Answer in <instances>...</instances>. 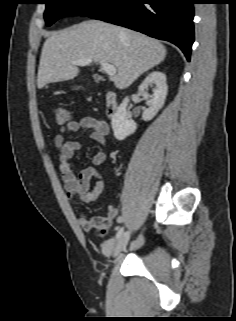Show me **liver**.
Returning <instances> with one entry per match:
<instances>
[{
  "mask_svg": "<svg viewBox=\"0 0 236 321\" xmlns=\"http://www.w3.org/2000/svg\"><path fill=\"white\" fill-rule=\"evenodd\" d=\"M166 53L160 41L142 33L103 21H84L48 35L41 52L37 87L74 79L80 70L71 61L91 58L114 65V85L125 89L160 64Z\"/></svg>",
  "mask_w": 236,
  "mask_h": 321,
  "instance_id": "liver-1",
  "label": "liver"
}]
</instances>
